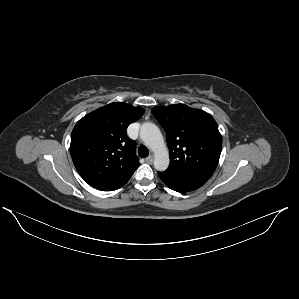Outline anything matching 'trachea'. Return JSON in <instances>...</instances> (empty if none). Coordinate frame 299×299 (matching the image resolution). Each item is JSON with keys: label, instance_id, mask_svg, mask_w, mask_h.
<instances>
[{"label": "trachea", "instance_id": "trachea-1", "mask_svg": "<svg viewBox=\"0 0 299 299\" xmlns=\"http://www.w3.org/2000/svg\"><path fill=\"white\" fill-rule=\"evenodd\" d=\"M138 154L140 157L145 158L149 155V150L144 145H140L138 148Z\"/></svg>", "mask_w": 299, "mask_h": 299}]
</instances>
